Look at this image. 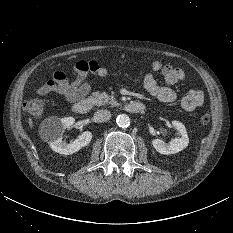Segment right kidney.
<instances>
[{"label": "right kidney", "mask_w": 233, "mask_h": 233, "mask_svg": "<svg viewBox=\"0 0 233 233\" xmlns=\"http://www.w3.org/2000/svg\"><path fill=\"white\" fill-rule=\"evenodd\" d=\"M75 123L73 117L58 118L49 117L42 122L43 137L50 144L53 151L69 155L79 151L82 147L87 146L91 139L92 133L85 131L81 133L76 140L71 143H65L62 140L64 130Z\"/></svg>", "instance_id": "obj_1"}]
</instances>
